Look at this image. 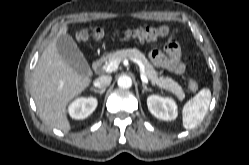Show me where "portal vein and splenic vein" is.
<instances>
[{
  "label": "portal vein and splenic vein",
  "mask_w": 249,
  "mask_h": 165,
  "mask_svg": "<svg viewBox=\"0 0 249 165\" xmlns=\"http://www.w3.org/2000/svg\"><path fill=\"white\" fill-rule=\"evenodd\" d=\"M119 63L120 61L118 60H115V61H112L110 63H108L105 67H104V71L105 72H108V73H111L113 71H116L119 67ZM139 66H140V78L141 80L144 82V83H148V78L146 77L145 75V72H144V67L143 65L138 62Z\"/></svg>",
  "instance_id": "18ae733b"
}]
</instances>
